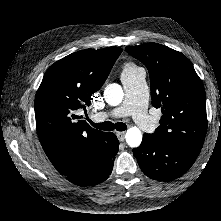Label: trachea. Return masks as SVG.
<instances>
[{"label": "trachea", "instance_id": "3493384b", "mask_svg": "<svg viewBox=\"0 0 221 221\" xmlns=\"http://www.w3.org/2000/svg\"><path fill=\"white\" fill-rule=\"evenodd\" d=\"M88 121L93 127L100 129V130H104V131H112L114 129H116L117 131H124L127 129L126 124L122 122H118L114 124L110 121H106L102 123H94L91 120H88Z\"/></svg>", "mask_w": 221, "mask_h": 221}]
</instances>
